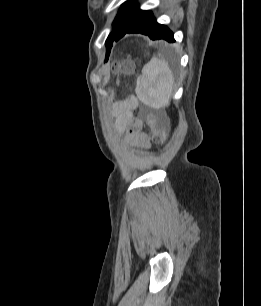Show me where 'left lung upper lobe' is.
I'll return each instance as SVG.
<instances>
[{
	"mask_svg": "<svg viewBox=\"0 0 261 306\" xmlns=\"http://www.w3.org/2000/svg\"><path fill=\"white\" fill-rule=\"evenodd\" d=\"M139 6L135 1H131L130 3H126L121 7L120 12L116 16L113 22V30L109 34L106 40L107 54L106 57L109 56L110 48L112 46V42L117 41L122 32L128 27L131 21L139 12Z\"/></svg>",
	"mask_w": 261,
	"mask_h": 306,
	"instance_id": "1",
	"label": "left lung upper lobe"
}]
</instances>
